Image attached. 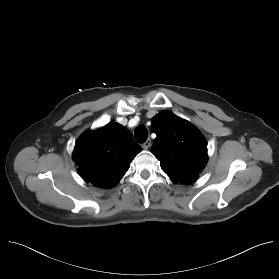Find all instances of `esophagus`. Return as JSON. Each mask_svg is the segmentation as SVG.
Instances as JSON below:
<instances>
[{
	"label": "esophagus",
	"instance_id": "1",
	"mask_svg": "<svg viewBox=\"0 0 279 279\" xmlns=\"http://www.w3.org/2000/svg\"><path fill=\"white\" fill-rule=\"evenodd\" d=\"M151 145V139H147L143 144H142V148L144 150H147Z\"/></svg>",
	"mask_w": 279,
	"mask_h": 279
}]
</instances>
